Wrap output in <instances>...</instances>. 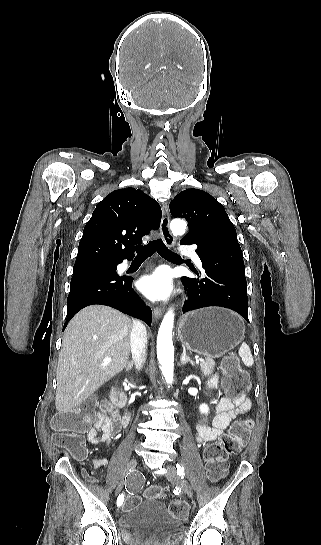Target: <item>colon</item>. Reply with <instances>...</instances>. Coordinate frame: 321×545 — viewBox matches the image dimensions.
I'll return each mask as SVG.
<instances>
[{"label":"colon","instance_id":"5ec220e1","mask_svg":"<svg viewBox=\"0 0 321 545\" xmlns=\"http://www.w3.org/2000/svg\"><path fill=\"white\" fill-rule=\"evenodd\" d=\"M222 386L229 397L244 395L250 388L248 374L240 368L235 358H227L222 363ZM95 407L94 399L85 400L80 407L57 414L53 419L56 433L53 442L56 446L68 450L78 460L86 457L87 449L84 432L92 422V413ZM253 422L251 419L235 421L228 433L207 445L204 450L207 475L211 481L223 478L227 473V457L238 454L249 440ZM165 489L160 486H150L145 495L148 498L159 499L164 497ZM141 498L135 494H128L122 502V510H129L140 504ZM170 512L177 518L184 519L187 514L186 506L180 502L170 504Z\"/></svg>","mask_w":321,"mask_h":545}]
</instances>
